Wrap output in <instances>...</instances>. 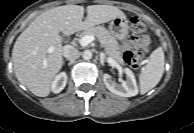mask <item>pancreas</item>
<instances>
[{"label": "pancreas", "instance_id": "cf45deb5", "mask_svg": "<svg viewBox=\"0 0 194 133\" xmlns=\"http://www.w3.org/2000/svg\"><path fill=\"white\" fill-rule=\"evenodd\" d=\"M86 35L96 36L105 49L106 55L114 59L116 62L123 64L124 60L121 56V51L116 39L109 33V31L103 26L91 27L84 30L79 37ZM80 38V39H81Z\"/></svg>", "mask_w": 194, "mask_h": 133}]
</instances>
